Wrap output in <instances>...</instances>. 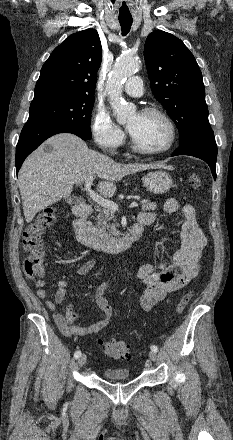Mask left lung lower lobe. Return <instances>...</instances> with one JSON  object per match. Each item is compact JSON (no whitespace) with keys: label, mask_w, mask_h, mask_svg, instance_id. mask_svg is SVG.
Here are the masks:
<instances>
[{"label":"left lung lower lobe","mask_w":233,"mask_h":440,"mask_svg":"<svg viewBox=\"0 0 233 440\" xmlns=\"http://www.w3.org/2000/svg\"><path fill=\"white\" fill-rule=\"evenodd\" d=\"M177 155H189L204 160L209 165L214 179H216L217 145L212 130L180 144L172 154V156Z\"/></svg>","instance_id":"left-lung-lower-lobe-1"}]
</instances>
